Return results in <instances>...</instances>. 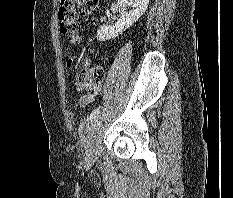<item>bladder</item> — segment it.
Here are the masks:
<instances>
[{
  "label": "bladder",
  "instance_id": "1",
  "mask_svg": "<svg viewBox=\"0 0 233 198\" xmlns=\"http://www.w3.org/2000/svg\"><path fill=\"white\" fill-rule=\"evenodd\" d=\"M96 129V121L89 123L87 120L83 121L79 127L80 139L83 143L91 142L94 131Z\"/></svg>",
  "mask_w": 233,
  "mask_h": 198
}]
</instances>
